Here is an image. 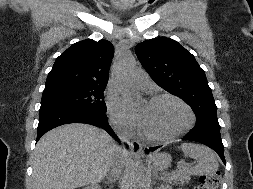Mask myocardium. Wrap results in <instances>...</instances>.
Here are the masks:
<instances>
[{"label":"myocardium","instance_id":"obj_1","mask_svg":"<svg viewBox=\"0 0 253 189\" xmlns=\"http://www.w3.org/2000/svg\"><path fill=\"white\" fill-rule=\"evenodd\" d=\"M161 100H170V101L175 102L179 106H181L186 111L187 121L177 131H175L169 135H166V136L152 135V134L144 131L143 129H141V132L144 135V137H146L149 140L156 141V142H166V141L173 140V139L183 135L187 131H189L194 126V123H195L194 112L192 111L191 107L184 100H182L181 98H179L173 94H170V93H161V94H156V95L152 96L149 100V103H155V102H158Z\"/></svg>","mask_w":253,"mask_h":189}]
</instances>
